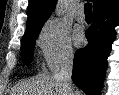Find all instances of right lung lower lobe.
Segmentation results:
<instances>
[{
	"mask_svg": "<svg viewBox=\"0 0 119 95\" xmlns=\"http://www.w3.org/2000/svg\"><path fill=\"white\" fill-rule=\"evenodd\" d=\"M119 25V2L94 14L86 31L88 45L76 51L72 80L87 95H100L107 68V57Z\"/></svg>",
	"mask_w": 119,
	"mask_h": 95,
	"instance_id": "obj_1",
	"label": "right lung lower lobe"
}]
</instances>
